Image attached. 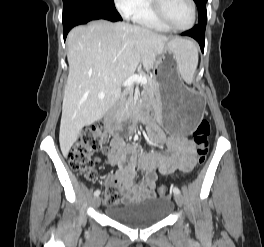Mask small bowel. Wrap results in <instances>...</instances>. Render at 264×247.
<instances>
[{"label": "small bowel", "mask_w": 264, "mask_h": 247, "mask_svg": "<svg viewBox=\"0 0 264 247\" xmlns=\"http://www.w3.org/2000/svg\"><path fill=\"white\" fill-rule=\"evenodd\" d=\"M147 132L152 144L166 150L162 152L142 153L134 146L125 145L121 136L112 140L108 152L111 165L117 167L114 176L108 178L111 183L117 184L124 194L125 202L155 197L157 182L156 172L167 175L176 170L188 173L196 164L194 144L180 134H166L158 120L149 121ZM146 172L141 184H135L137 170Z\"/></svg>", "instance_id": "c3829d8e"}]
</instances>
